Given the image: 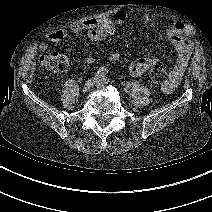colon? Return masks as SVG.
I'll return each mask as SVG.
<instances>
[{"label": "colon", "instance_id": "5ec220e1", "mask_svg": "<svg viewBox=\"0 0 212 212\" xmlns=\"http://www.w3.org/2000/svg\"><path fill=\"white\" fill-rule=\"evenodd\" d=\"M40 63L46 69L62 73L68 70L69 61L67 57L58 52H50L40 58ZM148 78L151 82L163 84L167 80V72L163 65L157 63L149 71Z\"/></svg>", "mask_w": 212, "mask_h": 212}]
</instances>
